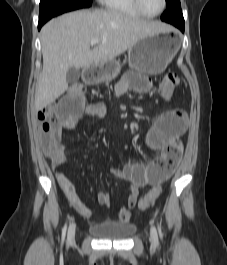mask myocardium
Instances as JSON below:
<instances>
[{
	"label": "myocardium",
	"mask_w": 227,
	"mask_h": 265,
	"mask_svg": "<svg viewBox=\"0 0 227 265\" xmlns=\"http://www.w3.org/2000/svg\"><path fill=\"white\" fill-rule=\"evenodd\" d=\"M133 1V4L135 6V8L137 9V11L144 17H147V18H154V17H157L159 16L161 13H163V11L165 10L166 8V4H167V1L166 0H162V7L161 9L155 13V14H148L146 13L142 6H141V1L140 0H132Z\"/></svg>",
	"instance_id": "f54148a6"
}]
</instances>
